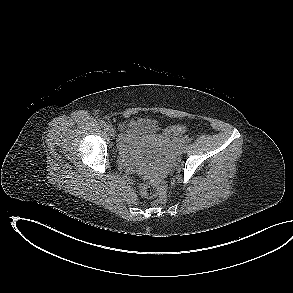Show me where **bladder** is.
Wrapping results in <instances>:
<instances>
[{
  "instance_id": "31cf9c89",
  "label": "bladder",
  "mask_w": 293,
  "mask_h": 293,
  "mask_svg": "<svg viewBox=\"0 0 293 293\" xmlns=\"http://www.w3.org/2000/svg\"><path fill=\"white\" fill-rule=\"evenodd\" d=\"M158 129L157 123L152 119H139L131 123L127 141L129 143L138 141L146 136H152Z\"/></svg>"
}]
</instances>
